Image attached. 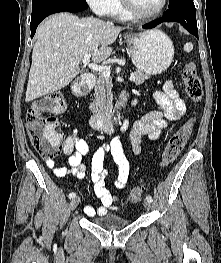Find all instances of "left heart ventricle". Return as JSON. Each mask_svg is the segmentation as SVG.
<instances>
[{"label":"left heart ventricle","mask_w":221,"mask_h":263,"mask_svg":"<svg viewBox=\"0 0 221 263\" xmlns=\"http://www.w3.org/2000/svg\"><path fill=\"white\" fill-rule=\"evenodd\" d=\"M133 5L141 12L149 13L159 8L162 0H131Z\"/></svg>","instance_id":"obj_1"}]
</instances>
